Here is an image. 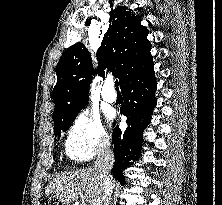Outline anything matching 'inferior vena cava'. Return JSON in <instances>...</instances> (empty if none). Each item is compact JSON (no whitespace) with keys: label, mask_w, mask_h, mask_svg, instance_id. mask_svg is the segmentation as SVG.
I'll return each mask as SVG.
<instances>
[{"label":"inferior vena cava","mask_w":222,"mask_h":205,"mask_svg":"<svg viewBox=\"0 0 222 205\" xmlns=\"http://www.w3.org/2000/svg\"><path fill=\"white\" fill-rule=\"evenodd\" d=\"M114 163V155L110 149V142L108 141L97 160L95 161V170L103 186V194L100 199L101 205H108L113 191V183L110 178V170Z\"/></svg>","instance_id":"602c4592"}]
</instances>
